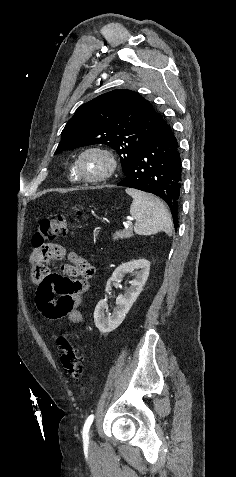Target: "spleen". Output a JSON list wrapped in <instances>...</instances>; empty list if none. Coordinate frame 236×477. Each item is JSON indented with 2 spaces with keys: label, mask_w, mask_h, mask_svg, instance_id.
I'll return each mask as SVG.
<instances>
[{
  "label": "spleen",
  "mask_w": 236,
  "mask_h": 477,
  "mask_svg": "<svg viewBox=\"0 0 236 477\" xmlns=\"http://www.w3.org/2000/svg\"><path fill=\"white\" fill-rule=\"evenodd\" d=\"M126 193L133 198L130 214L136 220V234L151 235L164 231L171 236L173 224L170 214L158 198L131 188H127Z\"/></svg>",
  "instance_id": "3e777b00"
}]
</instances>
